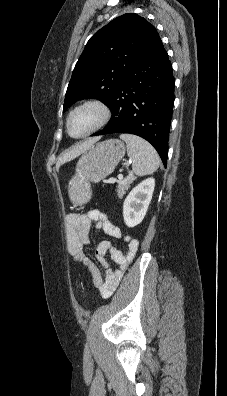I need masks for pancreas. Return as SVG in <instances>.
I'll return each mask as SVG.
<instances>
[{"mask_svg": "<svg viewBox=\"0 0 227 396\" xmlns=\"http://www.w3.org/2000/svg\"><path fill=\"white\" fill-rule=\"evenodd\" d=\"M135 177L133 175H130L126 178L119 179L118 186H117V196L119 198H122L123 195L125 194L126 190L129 189L130 184L134 181Z\"/></svg>", "mask_w": 227, "mask_h": 396, "instance_id": "pancreas-1", "label": "pancreas"}]
</instances>
